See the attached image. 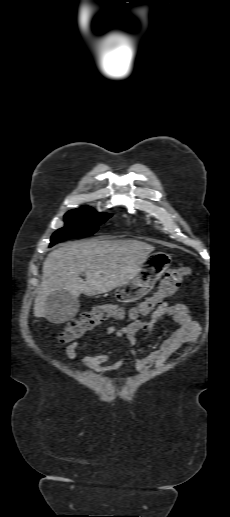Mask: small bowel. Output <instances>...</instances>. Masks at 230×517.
<instances>
[{"instance_id": "c3829d8e", "label": "small bowel", "mask_w": 230, "mask_h": 517, "mask_svg": "<svg viewBox=\"0 0 230 517\" xmlns=\"http://www.w3.org/2000/svg\"><path fill=\"white\" fill-rule=\"evenodd\" d=\"M166 317H170L175 323L179 324V327L162 342L157 350L143 356H136L137 370L143 372L154 364H162L183 345H187L184 354L188 352L200 331L199 324L191 317L189 307L182 303L169 304L164 302L154 311L148 321L134 320L122 328L112 325L107 328L106 333L108 336L117 339H125L129 345L134 346L137 341V332L145 331L148 334H153L158 323ZM78 347V342L68 345L64 350L65 357L69 360L80 361L96 374L108 372L122 363V360L112 362L106 354L79 357Z\"/></svg>"}]
</instances>
